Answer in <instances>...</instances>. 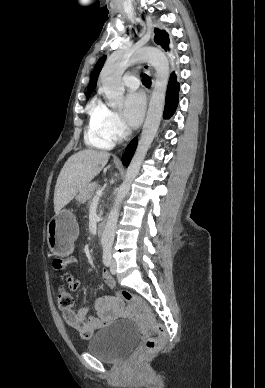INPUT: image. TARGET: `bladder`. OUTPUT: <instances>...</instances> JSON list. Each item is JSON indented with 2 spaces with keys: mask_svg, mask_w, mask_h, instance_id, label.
I'll return each mask as SVG.
<instances>
[{
  "mask_svg": "<svg viewBox=\"0 0 265 388\" xmlns=\"http://www.w3.org/2000/svg\"><path fill=\"white\" fill-rule=\"evenodd\" d=\"M137 335L138 329L131 321L113 322L91 338L87 350L105 361H118L134 347Z\"/></svg>",
  "mask_w": 265,
  "mask_h": 388,
  "instance_id": "31cf9c89",
  "label": "bladder"
}]
</instances>
